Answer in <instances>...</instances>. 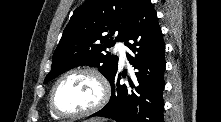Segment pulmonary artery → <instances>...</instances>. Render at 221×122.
<instances>
[{
	"instance_id": "pulmonary-artery-1",
	"label": "pulmonary artery",
	"mask_w": 221,
	"mask_h": 122,
	"mask_svg": "<svg viewBox=\"0 0 221 122\" xmlns=\"http://www.w3.org/2000/svg\"><path fill=\"white\" fill-rule=\"evenodd\" d=\"M114 49L119 54L120 62L124 63L127 59V57H126V46L123 43L119 42L115 45Z\"/></svg>"
}]
</instances>
